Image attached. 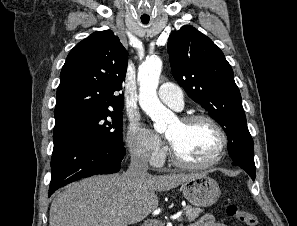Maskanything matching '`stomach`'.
Wrapping results in <instances>:
<instances>
[{"instance_id":"0dacf381","label":"stomach","mask_w":297,"mask_h":226,"mask_svg":"<svg viewBox=\"0 0 297 226\" xmlns=\"http://www.w3.org/2000/svg\"><path fill=\"white\" fill-rule=\"evenodd\" d=\"M184 197L195 206L206 207L214 204L221 191L218 183L205 173L196 174L182 184Z\"/></svg>"}]
</instances>
